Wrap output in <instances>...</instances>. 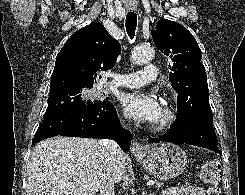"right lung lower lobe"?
Masks as SVG:
<instances>
[{
  "label": "right lung lower lobe",
  "mask_w": 245,
  "mask_h": 195,
  "mask_svg": "<svg viewBox=\"0 0 245 195\" xmlns=\"http://www.w3.org/2000/svg\"><path fill=\"white\" fill-rule=\"evenodd\" d=\"M113 139L127 151L131 133L120 125L115 107L109 100L98 101L89 108L74 109L43 119L32 145L53 136Z\"/></svg>",
  "instance_id": "right-lung-lower-lobe-1"
}]
</instances>
